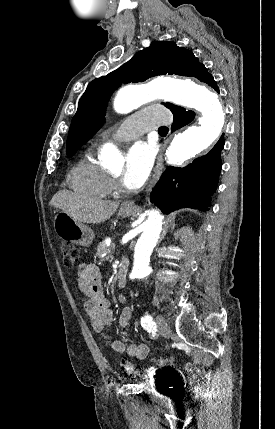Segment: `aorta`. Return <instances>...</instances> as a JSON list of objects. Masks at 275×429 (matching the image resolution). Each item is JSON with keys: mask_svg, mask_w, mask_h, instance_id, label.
<instances>
[{"mask_svg": "<svg viewBox=\"0 0 275 429\" xmlns=\"http://www.w3.org/2000/svg\"><path fill=\"white\" fill-rule=\"evenodd\" d=\"M155 99L193 108L201 113L198 125L190 126L174 136L166 151L169 164L175 165L199 154L220 135L226 109L214 89L197 81L160 78L147 85H128L117 93L113 108L119 114H127ZM101 159L112 171L121 167L118 151L112 144L103 146ZM162 220L159 211L152 210L143 224V232L134 249L133 274L137 278L151 273L150 256L160 237Z\"/></svg>", "mask_w": 275, "mask_h": 429, "instance_id": "aorta-1", "label": "aorta"}]
</instances>
